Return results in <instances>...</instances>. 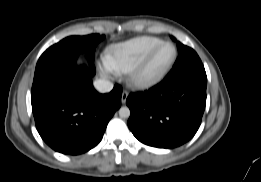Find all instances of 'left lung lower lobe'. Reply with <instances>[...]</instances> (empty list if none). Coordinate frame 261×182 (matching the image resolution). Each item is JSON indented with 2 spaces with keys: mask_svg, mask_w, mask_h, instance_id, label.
<instances>
[{
  "mask_svg": "<svg viewBox=\"0 0 261 182\" xmlns=\"http://www.w3.org/2000/svg\"><path fill=\"white\" fill-rule=\"evenodd\" d=\"M205 70L166 77L145 92L131 93L128 126L142 143L171 149L197 132L206 104Z\"/></svg>",
  "mask_w": 261,
  "mask_h": 182,
  "instance_id": "obj_1",
  "label": "left lung lower lobe"
}]
</instances>
